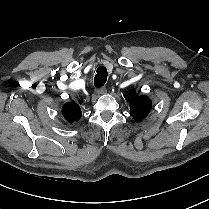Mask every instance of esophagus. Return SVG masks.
Returning a JSON list of instances; mask_svg holds the SVG:
<instances>
[{
  "instance_id": "obj_1",
  "label": "esophagus",
  "mask_w": 209,
  "mask_h": 209,
  "mask_svg": "<svg viewBox=\"0 0 209 209\" xmlns=\"http://www.w3.org/2000/svg\"><path fill=\"white\" fill-rule=\"evenodd\" d=\"M106 87H101V88H97L96 89V93L98 94V95H102V94H105L106 93Z\"/></svg>"
}]
</instances>
